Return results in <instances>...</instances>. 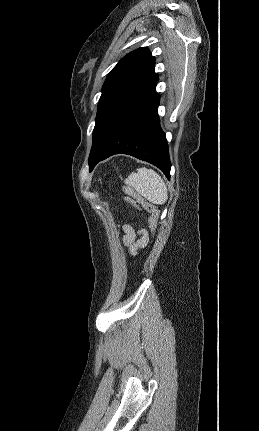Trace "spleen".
<instances>
[{
	"label": "spleen",
	"instance_id": "3e777b00",
	"mask_svg": "<svg viewBox=\"0 0 259 431\" xmlns=\"http://www.w3.org/2000/svg\"><path fill=\"white\" fill-rule=\"evenodd\" d=\"M125 183L153 204H164L168 199L167 187L162 177L153 169L142 167L131 173Z\"/></svg>",
	"mask_w": 259,
	"mask_h": 431
}]
</instances>
